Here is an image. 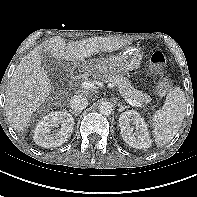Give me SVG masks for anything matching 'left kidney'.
<instances>
[{
  "mask_svg": "<svg viewBox=\"0 0 197 197\" xmlns=\"http://www.w3.org/2000/svg\"><path fill=\"white\" fill-rule=\"evenodd\" d=\"M119 126L123 140L136 149H147L151 146L147 124L137 111L130 110L119 117Z\"/></svg>",
  "mask_w": 197,
  "mask_h": 197,
  "instance_id": "1",
  "label": "left kidney"
}]
</instances>
